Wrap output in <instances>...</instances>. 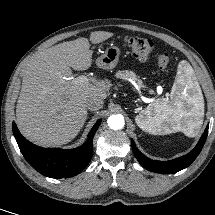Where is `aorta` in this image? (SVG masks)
<instances>
[{
	"label": "aorta",
	"instance_id": "obj_1",
	"mask_svg": "<svg viewBox=\"0 0 215 215\" xmlns=\"http://www.w3.org/2000/svg\"><path fill=\"white\" fill-rule=\"evenodd\" d=\"M108 126L113 130H119L124 127V118L122 115H111L107 120Z\"/></svg>",
	"mask_w": 215,
	"mask_h": 215
}]
</instances>
